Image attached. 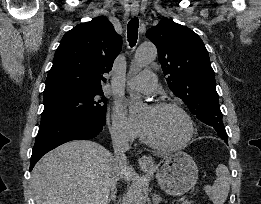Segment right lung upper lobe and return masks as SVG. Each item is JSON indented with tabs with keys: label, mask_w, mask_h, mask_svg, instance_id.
Returning <instances> with one entry per match:
<instances>
[{
	"label": "right lung upper lobe",
	"mask_w": 261,
	"mask_h": 204,
	"mask_svg": "<svg viewBox=\"0 0 261 204\" xmlns=\"http://www.w3.org/2000/svg\"><path fill=\"white\" fill-rule=\"evenodd\" d=\"M122 37L106 17L75 26L62 38L46 79L44 94L61 90H102Z\"/></svg>",
	"instance_id": "right-lung-upper-lobe-1"
}]
</instances>
